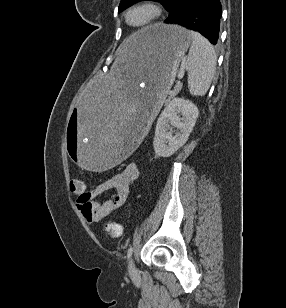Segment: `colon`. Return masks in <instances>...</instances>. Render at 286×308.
Listing matches in <instances>:
<instances>
[{"instance_id":"obj_1","label":"colon","mask_w":286,"mask_h":308,"mask_svg":"<svg viewBox=\"0 0 286 308\" xmlns=\"http://www.w3.org/2000/svg\"><path fill=\"white\" fill-rule=\"evenodd\" d=\"M84 189V181L81 179H72L70 181V190L73 193H78L83 191ZM103 232L111 237L118 238L122 234V226L118 223L108 222L103 225Z\"/></svg>"}]
</instances>
